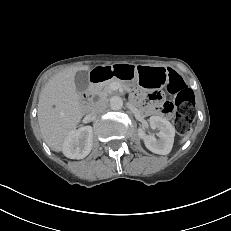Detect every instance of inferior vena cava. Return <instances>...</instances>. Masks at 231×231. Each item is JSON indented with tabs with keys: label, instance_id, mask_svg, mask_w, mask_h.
Listing matches in <instances>:
<instances>
[{
	"label": "inferior vena cava",
	"instance_id": "obj_1",
	"mask_svg": "<svg viewBox=\"0 0 231 231\" xmlns=\"http://www.w3.org/2000/svg\"><path fill=\"white\" fill-rule=\"evenodd\" d=\"M106 108V103L105 102H97L96 105L94 106L92 110L93 115H98L100 114L104 109Z\"/></svg>",
	"mask_w": 231,
	"mask_h": 231
}]
</instances>
